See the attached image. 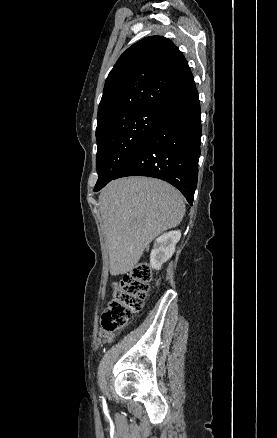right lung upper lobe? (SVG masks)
Listing matches in <instances>:
<instances>
[{
    "instance_id": "right-lung-upper-lobe-1",
    "label": "right lung upper lobe",
    "mask_w": 277,
    "mask_h": 438,
    "mask_svg": "<svg viewBox=\"0 0 277 438\" xmlns=\"http://www.w3.org/2000/svg\"><path fill=\"white\" fill-rule=\"evenodd\" d=\"M157 63L170 66L162 69ZM194 87L188 63L173 42L161 36L146 37L129 47L109 73L98 122L114 115L164 110L170 101Z\"/></svg>"
}]
</instances>
